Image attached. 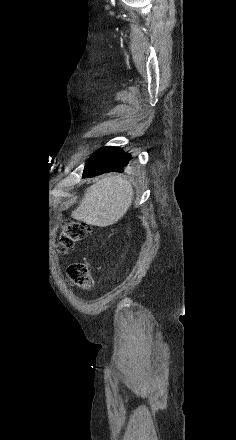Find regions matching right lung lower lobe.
<instances>
[{"mask_svg": "<svg viewBox=\"0 0 236 440\" xmlns=\"http://www.w3.org/2000/svg\"><path fill=\"white\" fill-rule=\"evenodd\" d=\"M130 159L131 155L124 153L118 147L101 148L88 159L83 177H93L108 172H123V168L128 165Z\"/></svg>", "mask_w": 236, "mask_h": 440, "instance_id": "1", "label": "right lung lower lobe"}]
</instances>
